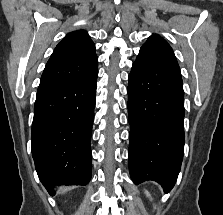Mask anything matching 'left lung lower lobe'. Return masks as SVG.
<instances>
[{
	"label": "left lung lower lobe",
	"mask_w": 223,
	"mask_h": 215,
	"mask_svg": "<svg viewBox=\"0 0 223 215\" xmlns=\"http://www.w3.org/2000/svg\"><path fill=\"white\" fill-rule=\"evenodd\" d=\"M129 171L135 184L158 182L168 193L177 180L184 154L182 78L134 62L129 74Z\"/></svg>",
	"instance_id": "obj_1"
}]
</instances>
